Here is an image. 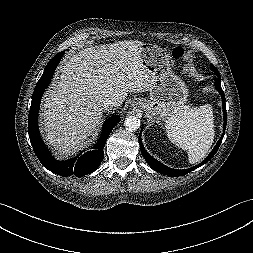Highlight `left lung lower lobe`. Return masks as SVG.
<instances>
[{
	"label": "left lung lower lobe",
	"mask_w": 253,
	"mask_h": 253,
	"mask_svg": "<svg viewBox=\"0 0 253 253\" xmlns=\"http://www.w3.org/2000/svg\"><path fill=\"white\" fill-rule=\"evenodd\" d=\"M211 69L214 71V73L217 76L215 78V87L222 97V102H223L222 107H223V114H224L223 130H225L226 129V108H225L226 103H225V95H224V92L221 88V77H220L219 71L213 65H211ZM142 129H143V127H142ZM223 136H224V132H223L221 138L219 139L218 143L214 147V149L211 151V153L208 155V157L204 161H202L200 164H198L192 168L184 169V170L169 168V167L165 166L164 164L160 163L159 161H157L151 155H149L143 147V144L141 141V133L139 135V143H140V150L142 152L144 159L154 170H156L159 173L165 174L167 176H182V175H185V174L189 173L190 171L204 165L206 162H208L217 152V150L222 142Z\"/></svg>",
	"instance_id": "obj_1"
}]
</instances>
